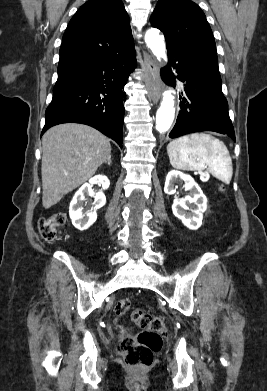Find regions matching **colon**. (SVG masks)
<instances>
[{"label": "colon", "instance_id": "obj_1", "mask_svg": "<svg viewBox=\"0 0 267 391\" xmlns=\"http://www.w3.org/2000/svg\"><path fill=\"white\" fill-rule=\"evenodd\" d=\"M63 213H54L43 217L38 222L39 233L46 242L57 239L60 229L66 224ZM117 318L129 315L132 322L140 329L136 336H125L118 345V352L124 363L131 369L148 368L163 344V337L168 333L164 318L152 315L140 308H132L127 299L120 300L115 307Z\"/></svg>", "mask_w": 267, "mask_h": 391}]
</instances>
